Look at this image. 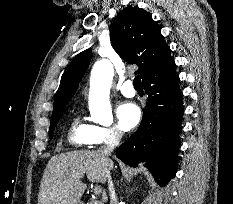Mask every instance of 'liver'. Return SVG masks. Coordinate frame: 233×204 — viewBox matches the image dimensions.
I'll return each instance as SVG.
<instances>
[{
    "mask_svg": "<svg viewBox=\"0 0 233 204\" xmlns=\"http://www.w3.org/2000/svg\"><path fill=\"white\" fill-rule=\"evenodd\" d=\"M112 168V160L99 151H73L53 156L41 180L38 204H76L86 188L80 180L85 173L91 182L104 184L107 171Z\"/></svg>",
    "mask_w": 233,
    "mask_h": 204,
    "instance_id": "obj_1",
    "label": "liver"
}]
</instances>
